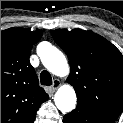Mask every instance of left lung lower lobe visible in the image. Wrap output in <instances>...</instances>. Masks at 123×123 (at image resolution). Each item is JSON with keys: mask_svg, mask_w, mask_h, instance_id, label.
Wrapping results in <instances>:
<instances>
[{"mask_svg": "<svg viewBox=\"0 0 123 123\" xmlns=\"http://www.w3.org/2000/svg\"><path fill=\"white\" fill-rule=\"evenodd\" d=\"M117 116L92 106L77 103L76 109L64 116L63 123H114Z\"/></svg>", "mask_w": 123, "mask_h": 123, "instance_id": "0a47b994", "label": "left lung lower lobe"}]
</instances>
